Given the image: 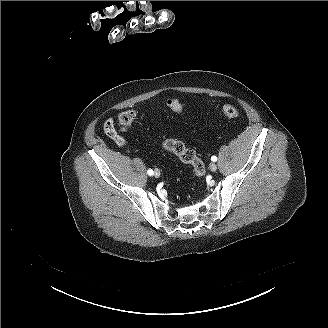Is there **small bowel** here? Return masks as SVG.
Instances as JSON below:
<instances>
[{
  "mask_svg": "<svg viewBox=\"0 0 328 328\" xmlns=\"http://www.w3.org/2000/svg\"><path fill=\"white\" fill-rule=\"evenodd\" d=\"M107 128H114V122L112 119H108L106 120V122L104 123V129L105 131L107 132ZM120 145H123L124 144V141L117 137V136H114L113 137Z\"/></svg>",
  "mask_w": 328,
  "mask_h": 328,
  "instance_id": "obj_1",
  "label": "small bowel"
}]
</instances>
